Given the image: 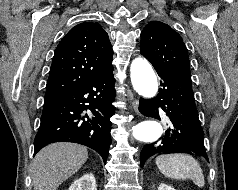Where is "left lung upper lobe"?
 Instances as JSON below:
<instances>
[{"label":"left lung upper lobe","mask_w":238,"mask_h":190,"mask_svg":"<svg viewBox=\"0 0 238 190\" xmlns=\"http://www.w3.org/2000/svg\"><path fill=\"white\" fill-rule=\"evenodd\" d=\"M140 52L152 65L190 75L187 48L169 25L151 21L141 32Z\"/></svg>","instance_id":"left-lung-upper-lobe-1"}]
</instances>
